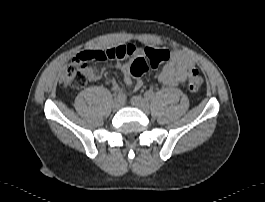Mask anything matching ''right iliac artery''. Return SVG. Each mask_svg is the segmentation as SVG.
Here are the masks:
<instances>
[{"instance_id": "82829eb1", "label": "right iliac artery", "mask_w": 265, "mask_h": 202, "mask_svg": "<svg viewBox=\"0 0 265 202\" xmlns=\"http://www.w3.org/2000/svg\"><path fill=\"white\" fill-rule=\"evenodd\" d=\"M114 96H115V99L122 100V98H123V95L121 93L115 94Z\"/></svg>"}]
</instances>
